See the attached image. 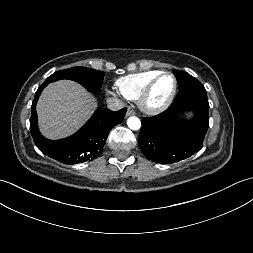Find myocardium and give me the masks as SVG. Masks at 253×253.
Listing matches in <instances>:
<instances>
[{
	"instance_id": "obj_1",
	"label": "myocardium",
	"mask_w": 253,
	"mask_h": 253,
	"mask_svg": "<svg viewBox=\"0 0 253 253\" xmlns=\"http://www.w3.org/2000/svg\"><path fill=\"white\" fill-rule=\"evenodd\" d=\"M165 75L171 76L173 79L174 83H173L172 91L163 103L156 106L151 105L149 103V99L153 91V88L158 82V80ZM177 90H178V81H177L176 76L170 71L160 72L159 74H157L154 78L150 80V82L146 85L145 89L141 93L140 97L138 98L139 107L144 113L148 115L161 114L171 106V104L173 103L176 97Z\"/></svg>"
}]
</instances>
